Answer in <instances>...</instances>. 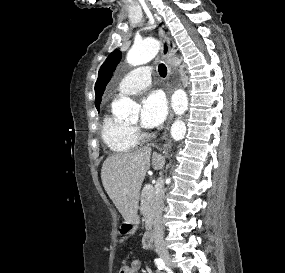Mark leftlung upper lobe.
I'll use <instances>...</instances> for the list:
<instances>
[{"label": "left lung upper lobe", "mask_w": 285, "mask_h": 273, "mask_svg": "<svg viewBox=\"0 0 285 273\" xmlns=\"http://www.w3.org/2000/svg\"><path fill=\"white\" fill-rule=\"evenodd\" d=\"M120 60H121V52L114 51L107 57L106 61L100 67L98 79L95 83V94H96L95 106L97 109H99V104L101 102V97L105 90V87L108 84L109 80L111 79L115 67L120 62Z\"/></svg>", "instance_id": "obj_1"}]
</instances>
